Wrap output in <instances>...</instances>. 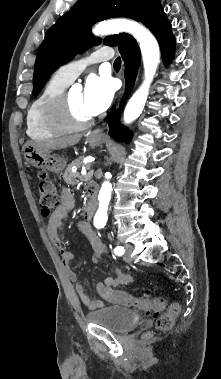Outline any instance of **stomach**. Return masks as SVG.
I'll return each instance as SVG.
<instances>
[{
  "label": "stomach",
  "instance_id": "stomach-1",
  "mask_svg": "<svg viewBox=\"0 0 221 379\" xmlns=\"http://www.w3.org/2000/svg\"><path fill=\"white\" fill-rule=\"evenodd\" d=\"M87 140L91 146H98L102 143V138L89 134ZM26 162L36 168L45 169L54 173H61L66 167V160L54 156L50 151L42 150L34 146H27L24 149Z\"/></svg>",
  "mask_w": 221,
  "mask_h": 379
}]
</instances>
